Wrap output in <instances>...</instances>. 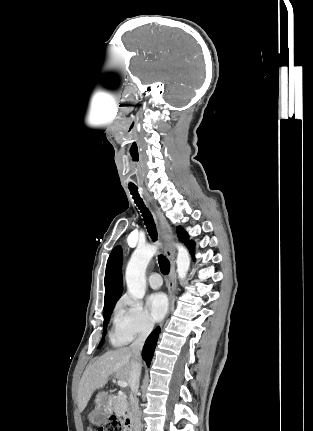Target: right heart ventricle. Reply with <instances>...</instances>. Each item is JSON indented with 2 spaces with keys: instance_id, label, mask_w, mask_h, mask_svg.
<instances>
[{
  "instance_id": "obj_1",
  "label": "right heart ventricle",
  "mask_w": 313,
  "mask_h": 431,
  "mask_svg": "<svg viewBox=\"0 0 313 431\" xmlns=\"http://www.w3.org/2000/svg\"><path fill=\"white\" fill-rule=\"evenodd\" d=\"M111 339L116 344H124L130 340L129 337L116 330V328L111 335Z\"/></svg>"
}]
</instances>
